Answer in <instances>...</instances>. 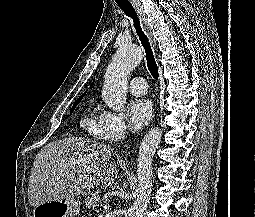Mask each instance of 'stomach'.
<instances>
[{"label":"stomach","mask_w":255,"mask_h":217,"mask_svg":"<svg viewBox=\"0 0 255 217\" xmlns=\"http://www.w3.org/2000/svg\"><path fill=\"white\" fill-rule=\"evenodd\" d=\"M80 206V201L74 198L53 200L36 206L33 217H74Z\"/></svg>","instance_id":"1"}]
</instances>
